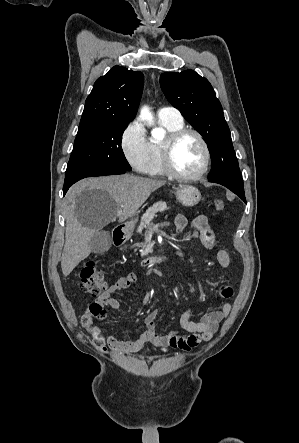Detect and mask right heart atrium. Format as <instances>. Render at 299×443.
I'll return each mask as SVG.
<instances>
[{"label":"right heart atrium","instance_id":"right-heart-atrium-1","mask_svg":"<svg viewBox=\"0 0 299 443\" xmlns=\"http://www.w3.org/2000/svg\"><path fill=\"white\" fill-rule=\"evenodd\" d=\"M120 146L127 162L136 171L145 173L149 164V141L140 121L134 120L124 128Z\"/></svg>","mask_w":299,"mask_h":443}]
</instances>
